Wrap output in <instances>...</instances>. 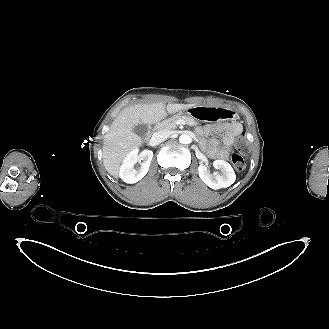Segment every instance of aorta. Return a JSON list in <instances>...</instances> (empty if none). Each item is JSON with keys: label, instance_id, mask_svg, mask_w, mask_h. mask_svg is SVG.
Instances as JSON below:
<instances>
[{"label": "aorta", "instance_id": "obj_1", "mask_svg": "<svg viewBox=\"0 0 329 329\" xmlns=\"http://www.w3.org/2000/svg\"><path fill=\"white\" fill-rule=\"evenodd\" d=\"M179 142L182 144H189L191 142V138L187 134H182L179 137Z\"/></svg>", "mask_w": 329, "mask_h": 329}]
</instances>
